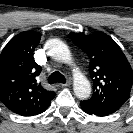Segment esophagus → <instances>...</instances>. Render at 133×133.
<instances>
[{
    "label": "esophagus",
    "instance_id": "obj_1",
    "mask_svg": "<svg viewBox=\"0 0 133 133\" xmlns=\"http://www.w3.org/2000/svg\"><path fill=\"white\" fill-rule=\"evenodd\" d=\"M61 85H62V87L70 86V85H71V81L68 80L66 83H63V84H61Z\"/></svg>",
    "mask_w": 133,
    "mask_h": 133
}]
</instances>
